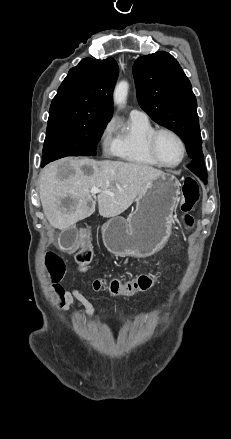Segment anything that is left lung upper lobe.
Returning a JSON list of instances; mask_svg holds the SVG:
<instances>
[{
    "label": "left lung upper lobe",
    "mask_w": 231,
    "mask_h": 439,
    "mask_svg": "<svg viewBox=\"0 0 231 439\" xmlns=\"http://www.w3.org/2000/svg\"><path fill=\"white\" fill-rule=\"evenodd\" d=\"M133 75L141 108L181 137L192 159L188 168L206 183L197 101L177 60L167 52L142 56L134 63Z\"/></svg>",
    "instance_id": "5c2ea615"
}]
</instances>
